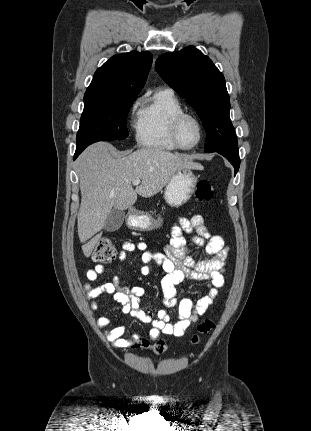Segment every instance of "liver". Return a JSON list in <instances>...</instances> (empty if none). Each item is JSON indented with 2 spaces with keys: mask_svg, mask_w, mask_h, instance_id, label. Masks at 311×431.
<instances>
[{
  "mask_svg": "<svg viewBox=\"0 0 311 431\" xmlns=\"http://www.w3.org/2000/svg\"><path fill=\"white\" fill-rule=\"evenodd\" d=\"M118 152L107 142L92 144L76 160L81 192L77 229L82 251L90 257L112 210H128L138 196L159 194L183 168L203 170L201 164L184 154L158 148ZM134 180H141L135 190Z\"/></svg>",
  "mask_w": 311,
  "mask_h": 431,
  "instance_id": "liver-1",
  "label": "liver"
}]
</instances>
